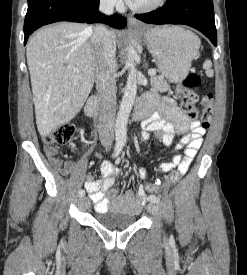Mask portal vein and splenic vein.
Returning <instances> with one entry per match:
<instances>
[{"instance_id":"18ae733b","label":"portal vein and splenic vein","mask_w":247,"mask_h":275,"mask_svg":"<svg viewBox=\"0 0 247 275\" xmlns=\"http://www.w3.org/2000/svg\"><path fill=\"white\" fill-rule=\"evenodd\" d=\"M74 71H75V72H78L79 70H78V69H75ZM148 75H149V76H155V75H156V71H155L154 69H150V70L148 71Z\"/></svg>"}]
</instances>
